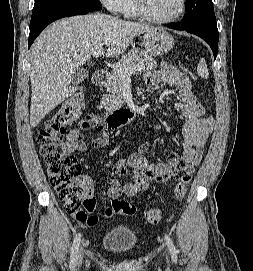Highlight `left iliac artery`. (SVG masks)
Masks as SVG:
<instances>
[{"label": "left iliac artery", "instance_id": "1", "mask_svg": "<svg viewBox=\"0 0 253 271\" xmlns=\"http://www.w3.org/2000/svg\"><path fill=\"white\" fill-rule=\"evenodd\" d=\"M165 240H166L167 246L169 248L170 254L172 256V259L174 262H176L177 261V250L174 246V243L168 235H165Z\"/></svg>", "mask_w": 253, "mask_h": 271}]
</instances>
